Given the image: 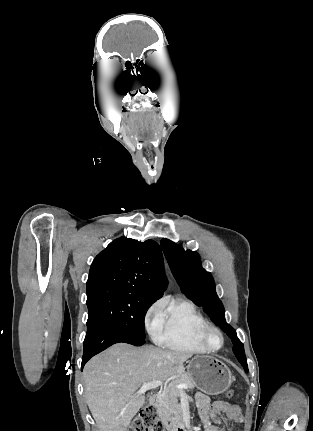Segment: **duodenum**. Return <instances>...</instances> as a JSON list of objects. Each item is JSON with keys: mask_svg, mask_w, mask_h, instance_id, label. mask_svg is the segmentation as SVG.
Listing matches in <instances>:
<instances>
[{"mask_svg": "<svg viewBox=\"0 0 313 431\" xmlns=\"http://www.w3.org/2000/svg\"><path fill=\"white\" fill-rule=\"evenodd\" d=\"M157 401H158V396L152 395L150 398L151 405L155 406L157 404ZM169 431H185V427L183 424H176V425H172L169 428Z\"/></svg>", "mask_w": 313, "mask_h": 431, "instance_id": "1", "label": "duodenum"}]
</instances>
